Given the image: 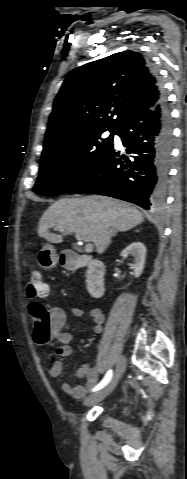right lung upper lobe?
Listing matches in <instances>:
<instances>
[{
  "label": "right lung upper lobe",
  "instance_id": "cb5924a9",
  "mask_svg": "<svg viewBox=\"0 0 187 479\" xmlns=\"http://www.w3.org/2000/svg\"><path fill=\"white\" fill-rule=\"evenodd\" d=\"M161 99L149 63L134 51L115 53L72 70L54 100L44 147L94 129H118Z\"/></svg>",
  "mask_w": 187,
  "mask_h": 479
}]
</instances>
